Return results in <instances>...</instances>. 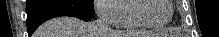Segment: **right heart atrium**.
Listing matches in <instances>:
<instances>
[{
    "label": "right heart atrium",
    "mask_w": 219,
    "mask_h": 37,
    "mask_svg": "<svg viewBox=\"0 0 219 37\" xmlns=\"http://www.w3.org/2000/svg\"><path fill=\"white\" fill-rule=\"evenodd\" d=\"M94 6L98 15L109 23H118L122 17L120 0H96Z\"/></svg>",
    "instance_id": "obj_1"
}]
</instances>
